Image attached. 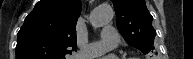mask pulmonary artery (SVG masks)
I'll return each mask as SVG.
<instances>
[{
    "label": "pulmonary artery",
    "mask_w": 193,
    "mask_h": 59,
    "mask_svg": "<svg viewBox=\"0 0 193 59\" xmlns=\"http://www.w3.org/2000/svg\"><path fill=\"white\" fill-rule=\"evenodd\" d=\"M120 38L113 27L105 26L102 29V40L90 43L85 49L78 51L76 54L79 59H91L101 55L107 48L117 45Z\"/></svg>",
    "instance_id": "e3ab8cb5"
}]
</instances>
